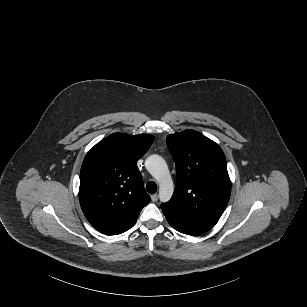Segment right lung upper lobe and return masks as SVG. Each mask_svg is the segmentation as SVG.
Listing matches in <instances>:
<instances>
[{"mask_svg": "<svg viewBox=\"0 0 307 307\" xmlns=\"http://www.w3.org/2000/svg\"><path fill=\"white\" fill-rule=\"evenodd\" d=\"M154 136L114 133L85 156L80 172L82 211L98 231L115 235L133 226L150 201L137 167Z\"/></svg>", "mask_w": 307, "mask_h": 307, "instance_id": "cb5924a9", "label": "right lung upper lobe"}]
</instances>
